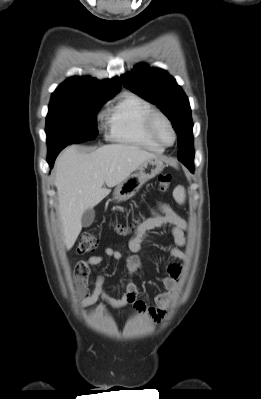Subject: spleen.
<instances>
[{"label": "spleen", "mask_w": 261, "mask_h": 399, "mask_svg": "<svg viewBox=\"0 0 261 399\" xmlns=\"http://www.w3.org/2000/svg\"><path fill=\"white\" fill-rule=\"evenodd\" d=\"M173 196L179 204H183L185 202V197H186L185 189L182 186L176 187L173 192Z\"/></svg>", "instance_id": "obj_1"}]
</instances>
